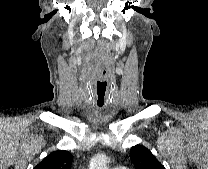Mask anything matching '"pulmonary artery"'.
I'll return each instance as SVG.
<instances>
[{"label": "pulmonary artery", "instance_id": "1", "mask_svg": "<svg viewBox=\"0 0 208 169\" xmlns=\"http://www.w3.org/2000/svg\"><path fill=\"white\" fill-rule=\"evenodd\" d=\"M113 169H128V167L124 165H118V166H115Z\"/></svg>", "mask_w": 208, "mask_h": 169}]
</instances>
